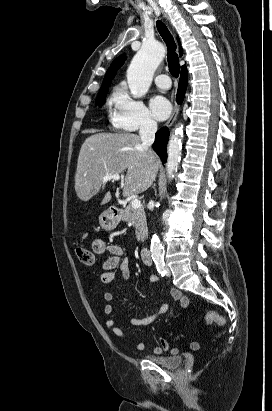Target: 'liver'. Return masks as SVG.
Returning a JSON list of instances; mask_svg holds the SVG:
<instances>
[{"mask_svg":"<svg viewBox=\"0 0 272 411\" xmlns=\"http://www.w3.org/2000/svg\"><path fill=\"white\" fill-rule=\"evenodd\" d=\"M159 162L155 154L146 151L141 139L133 133H97L82 144L75 174V191L79 199L90 200L104 183L106 174H122L127 170L123 195L146 191L156 178ZM107 192L101 202L108 203Z\"/></svg>","mask_w":272,"mask_h":411,"instance_id":"liver-1","label":"liver"}]
</instances>
